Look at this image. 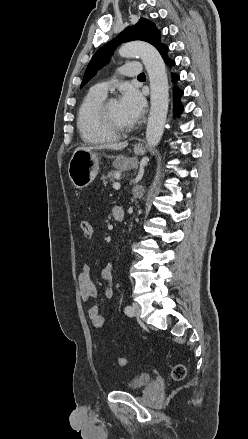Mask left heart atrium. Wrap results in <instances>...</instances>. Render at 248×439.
Returning <instances> with one entry per match:
<instances>
[{
  "label": "left heart atrium",
  "instance_id": "1",
  "mask_svg": "<svg viewBox=\"0 0 248 439\" xmlns=\"http://www.w3.org/2000/svg\"><path fill=\"white\" fill-rule=\"evenodd\" d=\"M120 104L126 116L134 123L138 121L145 110V100L134 87H127L120 99Z\"/></svg>",
  "mask_w": 248,
  "mask_h": 439
}]
</instances>
